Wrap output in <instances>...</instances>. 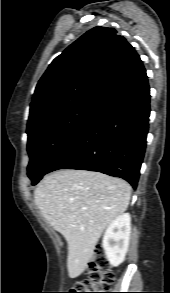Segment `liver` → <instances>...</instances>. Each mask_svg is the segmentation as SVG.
Returning a JSON list of instances; mask_svg holds the SVG:
<instances>
[{
  "label": "liver",
  "mask_w": 170,
  "mask_h": 293,
  "mask_svg": "<svg viewBox=\"0 0 170 293\" xmlns=\"http://www.w3.org/2000/svg\"><path fill=\"white\" fill-rule=\"evenodd\" d=\"M130 196L125 180L86 170H59L37 186L36 206L67 241L70 278L84 272L103 231L125 212Z\"/></svg>",
  "instance_id": "liver-1"
}]
</instances>
